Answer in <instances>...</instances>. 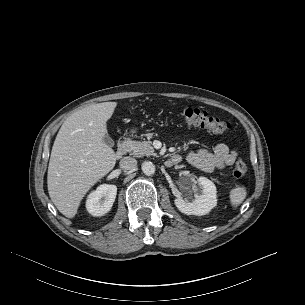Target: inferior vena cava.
Listing matches in <instances>:
<instances>
[{"label": "inferior vena cava", "mask_w": 305, "mask_h": 305, "mask_svg": "<svg viewBox=\"0 0 305 305\" xmlns=\"http://www.w3.org/2000/svg\"><path fill=\"white\" fill-rule=\"evenodd\" d=\"M137 165V160L132 157H124L120 161V168L125 169V170H131L135 168Z\"/></svg>", "instance_id": "inferior-vena-cava-1"}]
</instances>
